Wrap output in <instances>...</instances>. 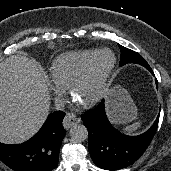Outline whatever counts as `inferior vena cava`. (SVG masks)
<instances>
[{
	"instance_id": "602c4592",
	"label": "inferior vena cava",
	"mask_w": 171,
	"mask_h": 171,
	"mask_svg": "<svg viewBox=\"0 0 171 171\" xmlns=\"http://www.w3.org/2000/svg\"><path fill=\"white\" fill-rule=\"evenodd\" d=\"M65 107V103L61 99H55V109L56 110H63Z\"/></svg>"
}]
</instances>
